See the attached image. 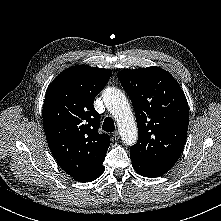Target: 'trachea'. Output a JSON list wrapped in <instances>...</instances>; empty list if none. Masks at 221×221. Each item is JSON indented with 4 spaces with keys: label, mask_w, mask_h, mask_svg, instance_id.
Masks as SVG:
<instances>
[{
    "label": "trachea",
    "mask_w": 221,
    "mask_h": 221,
    "mask_svg": "<svg viewBox=\"0 0 221 221\" xmlns=\"http://www.w3.org/2000/svg\"><path fill=\"white\" fill-rule=\"evenodd\" d=\"M102 129L106 132H113L115 130L114 121L111 117H107L102 125Z\"/></svg>",
    "instance_id": "1"
}]
</instances>
